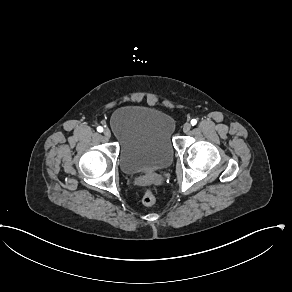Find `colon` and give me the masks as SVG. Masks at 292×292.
I'll list each match as a JSON object with an SVG mask.
<instances>
[{"instance_id": "obj_1", "label": "colon", "mask_w": 292, "mask_h": 292, "mask_svg": "<svg viewBox=\"0 0 292 292\" xmlns=\"http://www.w3.org/2000/svg\"><path fill=\"white\" fill-rule=\"evenodd\" d=\"M155 202H156L155 190L152 187H147L142 196V204L145 206H153Z\"/></svg>"}]
</instances>
